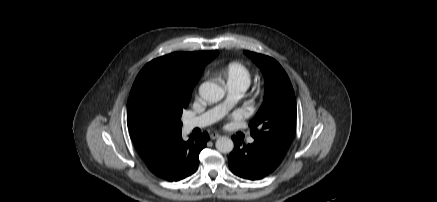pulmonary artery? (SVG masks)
Returning a JSON list of instances; mask_svg holds the SVG:
<instances>
[{
	"label": "pulmonary artery",
	"mask_w": 437,
	"mask_h": 202,
	"mask_svg": "<svg viewBox=\"0 0 437 202\" xmlns=\"http://www.w3.org/2000/svg\"><path fill=\"white\" fill-rule=\"evenodd\" d=\"M246 87L244 86H229V95L227 99L220 105L210 109L200 116L189 118L185 121V128L188 130L208 126L219 120L228 109L244 94ZM249 143H253L254 139L249 138Z\"/></svg>",
	"instance_id": "e3ab8cb5"
}]
</instances>
